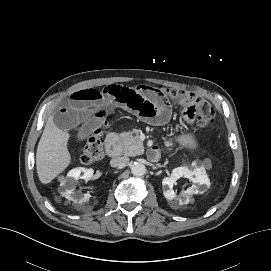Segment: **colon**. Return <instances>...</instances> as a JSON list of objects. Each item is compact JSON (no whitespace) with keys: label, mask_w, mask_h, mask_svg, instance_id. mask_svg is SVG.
Returning <instances> with one entry per match:
<instances>
[{"label":"colon","mask_w":271,"mask_h":271,"mask_svg":"<svg viewBox=\"0 0 271 271\" xmlns=\"http://www.w3.org/2000/svg\"><path fill=\"white\" fill-rule=\"evenodd\" d=\"M162 92L183 108V117L187 123L206 127L213 122L215 111L206 99L190 92L175 89H167ZM101 134L102 129L98 128L88 137L80 157L83 164L90 165L102 158Z\"/></svg>","instance_id":"obj_1"}]
</instances>
